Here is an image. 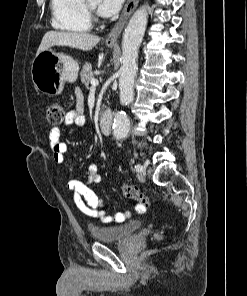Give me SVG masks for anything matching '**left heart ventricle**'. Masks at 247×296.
Masks as SVG:
<instances>
[{"instance_id":"left-heart-ventricle-1","label":"left heart ventricle","mask_w":247,"mask_h":296,"mask_svg":"<svg viewBox=\"0 0 247 296\" xmlns=\"http://www.w3.org/2000/svg\"><path fill=\"white\" fill-rule=\"evenodd\" d=\"M98 3H99V0H89V4L94 8L97 7Z\"/></svg>"}]
</instances>
